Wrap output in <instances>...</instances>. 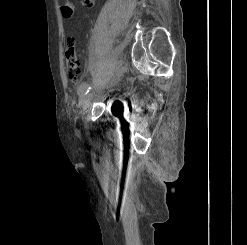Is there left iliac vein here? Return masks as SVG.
Wrapping results in <instances>:
<instances>
[{"label": "left iliac vein", "mask_w": 247, "mask_h": 245, "mask_svg": "<svg viewBox=\"0 0 247 245\" xmlns=\"http://www.w3.org/2000/svg\"><path fill=\"white\" fill-rule=\"evenodd\" d=\"M115 81H116V79H114L113 83H115ZM92 99H93L92 93L83 95L80 99V106L82 107V109H86L90 105Z\"/></svg>", "instance_id": "obj_1"}]
</instances>
